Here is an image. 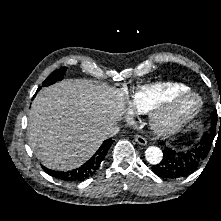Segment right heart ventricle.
Wrapping results in <instances>:
<instances>
[{
  "label": "right heart ventricle",
  "instance_id": "obj_1",
  "mask_svg": "<svg viewBox=\"0 0 221 221\" xmlns=\"http://www.w3.org/2000/svg\"><path fill=\"white\" fill-rule=\"evenodd\" d=\"M190 88L177 82H158L136 88L128 100V108L132 114L149 113L161 100L180 96Z\"/></svg>",
  "mask_w": 221,
  "mask_h": 221
}]
</instances>
